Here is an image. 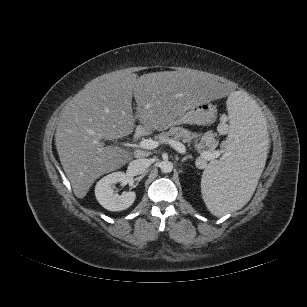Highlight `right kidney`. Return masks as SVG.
I'll return each mask as SVG.
<instances>
[{
    "mask_svg": "<svg viewBox=\"0 0 307 307\" xmlns=\"http://www.w3.org/2000/svg\"><path fill=\"white\" fill-rule=\"evenodd\" d=\"M126 179L124 172H113L100 179L95 186V196L100 205L109 211H122L129 208L135 201V192H123L121 195L113 191L116 183Z\"/></svg>",
    "mask_w": 307,
    "mask_h": 307,
    "instance_id": "obj_1",
    "label": "right kidney"
}]
</instances>
